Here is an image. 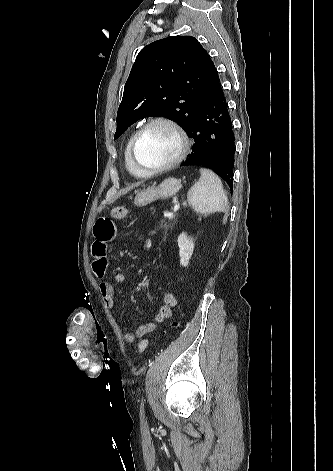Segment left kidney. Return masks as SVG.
<instances>
[{
	"label": "left kidney",
	"instance_id": "1",
	"mask_svg": "<svg viewBox=\"0 0 333 471\" xmlns=\"http://www.w3.org/2000/svg\"><path fill=\"white\" fill-rule=\"evenodd\" d=\"M177 242L179 247L180 264L183 267H186L188 266L189 260L193 254L194 241L183 232L178 236Z\"/></svg>",
	"mask_w": 333,
	"mask_h": 471
}]
</instances>
